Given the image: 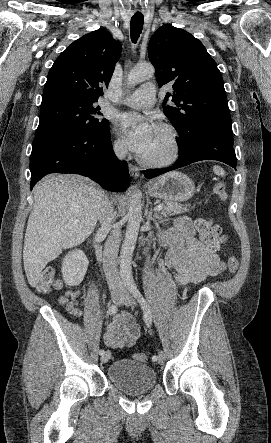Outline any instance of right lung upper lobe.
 I'll use <instances>...</instances> for the list:
<instances>
[{
	"mask_svg": "<svg viewBox=\"0 0 271 443\" xmlns=\"http://www.w3.org/2000/svg\"><path fill=\"white\" fill-rule=\"evenodd\" d=\"M120 54V42L105 29L74 41L51 67L42 103L56 99L95 103L108 86Z\"/></svg>",
	"mask_w": 271,
	"mask_h": 443,
	"instance_id": "1",
	"label": "right lung upper lobe"
}]
</instances>
